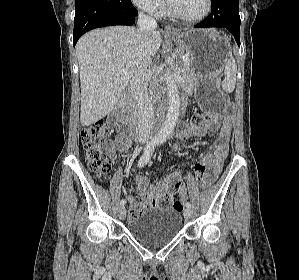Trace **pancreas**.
I'll use <instances>...</instances> for the list:
<instances>
[{
	"label": "pancreas",
	"mask_w": 299,
	"mask_h": 280,
	"mask_svg": "<svg viewBox=\"0 0 299 280\" xmlns=\"http://www.w3.org/2000/svg\"><path fill=\"white\" fill-rule=\"evenodd\" d=\"M181 70L186 87L191 89L196 80L195 71L193 69L191 60L184 62L182 64Z\"/></svg>",
	"instance_id": "1"
}]
</instances>
